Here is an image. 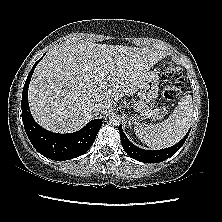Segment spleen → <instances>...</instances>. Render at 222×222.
Instances as JSON below:
<instances>
[{"instance_id":"3e777b00","label":"spleen","mask_w":222,"mask_h":222,"mask_svg":"<svg viewBox=\"0 0 222 222\" xmlns=\"http://www.w3.org/2000/svg\"><path fill=\"white\" fill-rule=\"evenodd\" d=\"M192 117V97L185 95L168 119L159 124L135 126V134L147 146L163 149L176 144L184 137L191 126Z\"/></svg>"}]
</instances>
